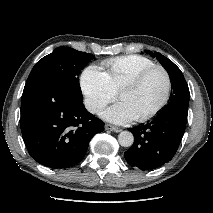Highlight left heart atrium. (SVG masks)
Wrapping results in <instances>:
<instances>
[{"label":"left heart atrium","instance_id":"obj_1","mask_svg":"<svg viewBox=\"0 0 213 213\" xmlns=\"http://www.w3.org/2000/svg\"><path fill=\"white\" fill-rule=\"evenodd\" d=\"M102 117L116 124H123L135 118L129 107L122 101L106 109Z\"/></svg>","mask_w":213,"mask_h":213}]
</instances>
